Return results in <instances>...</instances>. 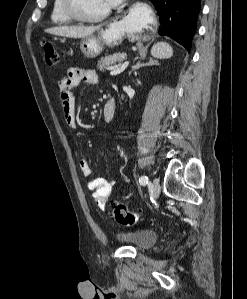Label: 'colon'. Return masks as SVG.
Returning a JSON list of instances; mask_svg holds the SVG:
<instances>
[{"label": "colon", "instance_id": "colon-1", "mask_svg": "<svg viewBox=\"0 0 247 299\" xmlns=\"http://www.w3.org/2000/svg\"><path fill=\"white\" fill-rule=\"evenodd\" d=\"M44 56L46 64L49 66H55L59 62V55L54 45L46 41L43 44ZM111 213L115 220L125 226H131L137 223L139 215L130 211L124 204L118 201H112L110 203Z\"/></svg>", "mask_w": 247, "mask_h": 299}]
</instances>
